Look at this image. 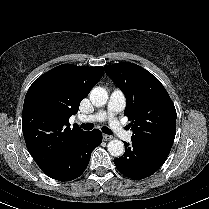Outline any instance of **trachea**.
I'll return each mask as SVG.
<instances>
[{"label":"trachea","mask_w":209,"mask_h":209,"mask_svg":"<svg viewBox=\"0 0 209 209\" xmlns=\"http://www.w3.org/2000/svg\"><path fill=\"white\" fill-rule=\"evenodd\" d=\"M81 127L84 130H92L94 126L91 123H86V124H82ZM102 132L105 133V134H112V131L106 126L102 127Z\"/></svg>","instance_id":"trachea-1"}]
</instances>
